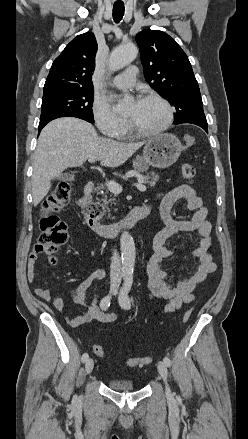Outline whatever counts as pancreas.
<instances>
[{
  "label": "pancreas",
  "instance_id": "obj_1",
  "mask_svg": "<svg viewBox=\"0 0 248 439\" xmlns=\"http://www.w3.org/2000/svg\"><path fill=\"white\" fill-rule=\"evenodd\" d=\"M133 173L134 176H136L138 179H140L142 181V183H146L150 186H154L155 183L158 181L159 176L158 174L151 172L150 174L147 175H141L138 170H133L131 171ZM97 191H103L106 189L105 185L100 184L99 186H97ZM115 201L114 198H110L108 199L106 196V192L104 194V198L99 200V203H101L103 208H107L109 203H113ZM109 212V211H108Z\"/></svg>",
  "mask_w": 248,
  "mask_h": 439
}]
</instances>
